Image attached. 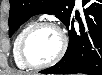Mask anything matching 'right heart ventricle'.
<instances>
[{"label":"right heart ventricle","mask_w":102,"mask_h":75,"mask_svg":"<svg viewBox=\"0 0 102 75\" xmlns=\"http://www.w3.org/2000/svg\"><path fill=\"white\" fill-rule=\"evenodd\" d=\"M34 23L35 21L33 19H28L19 29V31L17 32L13 40V57L16 65L20 68H25L27 66L22 58L21 51H20L21 41L25 33L29 30V28Z\"/></svg>","instance_id":"1"}]
</instances>
